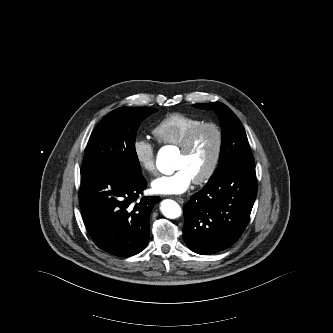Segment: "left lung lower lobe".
Segmentation results:
<instances>
[{"label":"left lung lower lobe","instance_id":"0a47b994","mask_svg":"<svg viewBox=\"0 0 333 333\" xmlns=\"http://www.w3.org/2000/svg\"><path fill=\"white\" fill-rule=\"evenodd\" d=\"M256 194L253 163L232 166L209 180L184 206L189 249L209 255L233 245L247 226Z\"/></svg>","mask_w":333,"mask_h":333}]
</instances>
